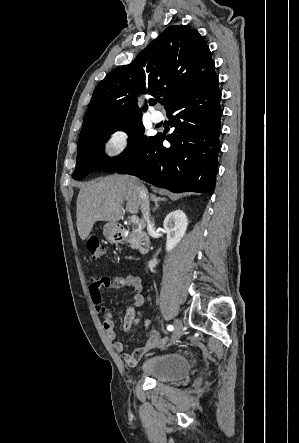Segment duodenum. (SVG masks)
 Here are the masks:
<instances>
[{
  "label": "duodenum",
  "mask_w": 299,
  "mask_h": 443,
  "mask_svg": "<svg viewBox=\"0 0 299 443\" xmlns=\"http://www.w3.org/2000/svg\"><path fill=\"white\" fill-rule=\"evenodd\" d=\"M127 229L122 225H117L115 229V235L113 236L114 242L124 243L126 241ZM138 239V252L142 255L147 254L150 250V240L145 232H137Z\"/></svg>",
  "instance_id": "410a0bca"
}]
</instances>
